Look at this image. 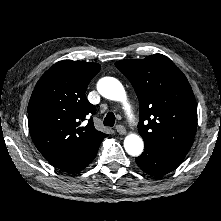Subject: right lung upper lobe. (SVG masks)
<instances>
[{"mask_svg": "<svg viewBox=\"0 0 221 221\" xmlns=\"http://www.w3.org/2000/svg\"><path fill=\"white\" fill-rule=\"evenodd\" d=\"M98 63L63 60L37 82L28 105L31 138L51 164H61L100 143L107 134L97 131L95 107L85 91L100 71Z\"/></svg>", "mask_w": 221, "mask_h": 221, "instance_id": "right-lung-upper-lobe-1", "label": "right lung upper lobe"}]
</instances>
